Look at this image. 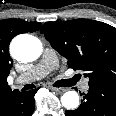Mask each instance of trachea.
Instances as JSON below:
<instances>
[{
  "instance_id": "trachea-1",
  "label": "trachea",
  "mask_w": 116,
  "mask_h": 116,
  "mask_svg": "<svg viewBox=\"0 0 116 116\" xmlns=\"http://www.w3.org/2000/svg\"><path fill=\"white\" fill-rule=\"evenodd\" d=\"M76 81L77 80L75 78L62 79V80L56 81L53 84V86H55V87H71V86L75 85Z\"/></svg>"
}]
</instances>
